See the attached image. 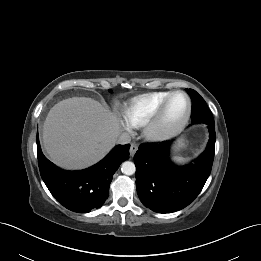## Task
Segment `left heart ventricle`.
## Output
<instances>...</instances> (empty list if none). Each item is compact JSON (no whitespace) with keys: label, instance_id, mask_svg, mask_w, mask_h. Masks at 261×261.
I'll list each match as a JSON object with an SVG mask.
<instances>
[{"label":"left heart ventricle","instance_id":"b2bd125f","mask_svg":"<svg viewBox=\"0 0 261 261\" xmlns=\"http://www.w3.org/2000/svg\"><path fill=\"white\" fill-rule=\"evenodd\" d=\"M187 110V101L184 96L176 95L170 101L167 108L164 127L169 128L178 124L185 116Z\"/></svg>","mask_w":261,"mask_h":261}]
</instances>
